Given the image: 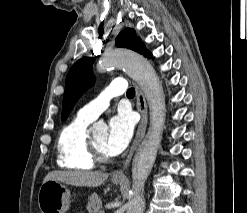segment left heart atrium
<instances>
[{
  "mask_svg": "<svg viewBox=\"0 0 247 213\" xmlns=\"http://www.w3.org/2000/svg\"><path fill=\"white\" fill-rule=\"evenodd\" d=\"M134 130L132 116L127 112H119L109 120V130L105 149L110 156L120 154L129 144Z\"/></svg>",
  "mask_w": 247,
  "mask_h": 213,
  "instance_id": "obj_1",
  "label": "left heart atrium"
}]
</instances>
